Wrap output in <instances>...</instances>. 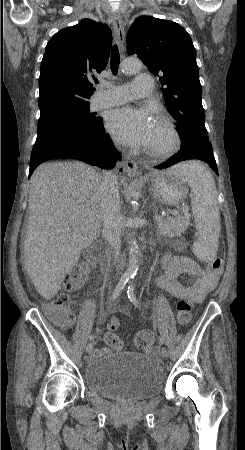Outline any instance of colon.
<instances>
[{
  "instance_id": "1",
  "label": "colon",
  "mask_w": 245,
  "mask_h": 450,
  "mask_svg": "<svg viewBox=\"0 0 245 450\" xmlns=\"http://www.w3.org/2000/svg\"><path fill=\"white\" fill-rule=\"evenodd\" d=\"M93 266V260L91 258H84L79 262L73 271L68 274L62 282V292L58 293L55 298L48 302L47 315L58 326L70 327L73 325L74 319L71 312L68 309L70 304L69 292H73L77 289V283L80 279L89 275ZM210 271L214 274H219L223 268V260L220 257H216L210 261ZM177 320L180 324H187L191 319V307L190 304L181 299L177 302ZM118 326L116 320H110L108 327L111 330L104 336L105 342L115 349H119L122 346L120 337L115 335L112 331ZM154 339V334L151 330H142L135 337V345L138 347H148L151 345Z\"/></svg>"
}]
</instances>
